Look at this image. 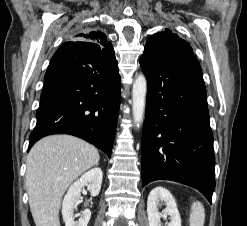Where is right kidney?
Returning <instances> with one entry per match:
<instances>
[{
    "label": "right kidney",
    "instance_id": "right-kidney-1",
    "mask_svg": "<svg viewBox=\"0 0 247 226\" xmlns=\"http://www.w3.org/2000/svg\"><path fill=\"white\" fill-rule=\"evenodd\" d=\"M103 173L100 168H93L84 173L80 179L75 181L68 189L62 204V215L65 226H87L91 217V212L86 209L78 214L79 220L74 221V210L80 203L81 190L87 186L91 196H97L101 189Z\"/></svg>",
    "mask_w": 247,
    "mask_h": 226
}]
</instances>
